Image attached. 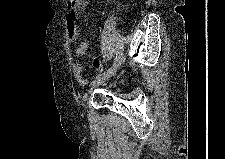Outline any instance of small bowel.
<instances>
[{
    "mask_svg": "<svg viewBox=\"0 0 225 159\" xmlns=\"http://www.w3.org/2000/svg\"><path fill=\"white\" fill-rule=\"evenodd\" d=\"M87 7L86 0H76L73 5L69 8L67 18H66V27L67 33L70 41H75L79 36L78 25L76 22V16L78 13L84 11ZM90 43L88 41H83L75 50V55L77 57H82L86 54L89 49ZM92 65L98 71L103 69V64L97 58H93ZM73 76L78 84L84 86L87 84V80L84 76V67L83 65L76 63L73 65Z\"/></svg>",
    "mask_w": 225,
    "mask_h": 159,
    "instance_id": "c3829d8e",
    "label": "small bowel"
}]
</instances>
